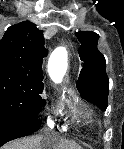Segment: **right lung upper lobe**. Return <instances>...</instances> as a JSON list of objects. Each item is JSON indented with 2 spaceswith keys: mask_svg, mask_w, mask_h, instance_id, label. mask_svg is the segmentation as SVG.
<instances>
[{
  "mask_svg": "<svg viewBox=\"0 0 124 149\" xmlns=\"http://www.w3.org/2000/svg\"><path fill=\"white\" fill-rule=\"evenodd\" d=\"M46 55L42 30L29 21L12 25L0 40V72L27 85L44 87L42 58Z\"/></svg>",
  "mask_w": 124,
  "mask_h": 149,
  "instance_id": "1",
  "label": "right lung upper lobe"
}]
</instances>
